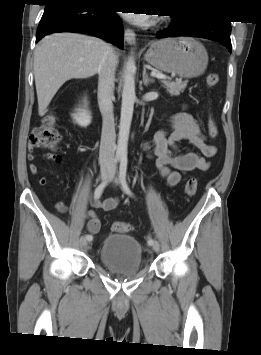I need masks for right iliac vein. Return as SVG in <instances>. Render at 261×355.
Wrapping results in <instances>:
<instances>
[{
    "mask_svg": "<svg viewBox=\"0 0 261 355\" xmlns=\"http://www.w3.org/2000/svg\"><path fill=\"white\" fill-rule=\"evenodd\" d=\"M110 173H111L110 169H108V168L102 169V171H101V179L103 181L106 180L110 176ZM80 244L83 247L87 248L90 245V241L88 242V241H86V239L84 237H82V238H80Z\"/></svg>",
    "mask_w": 261,
    "mask_h": 355,
    "instance_id": "63e3f726",
    "label": "right iliac vein"
}]
</instances>
